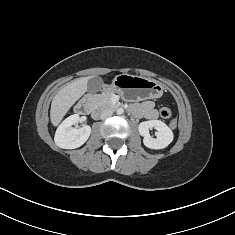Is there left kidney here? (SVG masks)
<instances>
[{
    "instance_id": "5707ae66",
    "label": "left kidney",
    "mask_w": 235,
    "mask_h": 235,
    "mask_svg": "<svg viewBox=\"0 0 235 235\" xmlns=\"http://www.w3.org/2000/svg\"><path fill=\"white\" fill-rule=\"evenodd\" d=\"M139 133L143 136V143L150 149H163L167 147L174 138L172 130L160 120H149L139 124ZM156 129V138L149 134V129Z\"/></svg>"
}]
</instances>
